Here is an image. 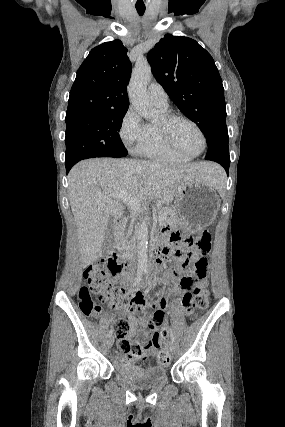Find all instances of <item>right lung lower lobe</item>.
I'll return each instance as SVG.
<instances>
[{
    "mask_svg": "<svg viewBox=\"0 0 285 427\" xmlns=\"http://www.w3.org/2000/svg\"><path fill=\"white\" fill-rule=\"evenodd\" d=\"M71 167H66V172L68 173Z\"/></svg>",
    "mask_w": 285,
    "mask_h": 427,
    "instance_id": "1",
    "label": "right lung lower lobe"
}]
</instances>
